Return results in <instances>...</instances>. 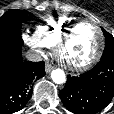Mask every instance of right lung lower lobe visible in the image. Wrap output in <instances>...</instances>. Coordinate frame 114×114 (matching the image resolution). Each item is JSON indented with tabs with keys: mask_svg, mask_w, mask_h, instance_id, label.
Here are the masks:
<instances>
[{
	"mask_svg": "<svg viewBox=\"0 0 114 114\" xmlns=\"http://www.w3.org/2000/svg\"><path fill=\"white\" fill-rule=\"evenodd\" d=\"M45 75L44 62L22 61L21 46L0 43V114L25 107L32 82Z\"/></svg>",
	"mask_w": 114,
	"mask_h": 114,
	"instance_id": "right-lung-lower-lobe-1",
	"label": "right lung lower lobe"
}]
</instances>
